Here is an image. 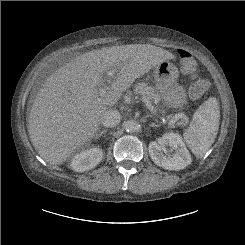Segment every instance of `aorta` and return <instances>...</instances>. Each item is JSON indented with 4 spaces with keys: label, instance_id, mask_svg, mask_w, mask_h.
Masks as SVG:
<instances>
[{
    "label": "aorta",
    "instance_id": "aorta-1",
    "mask_svg": "<svg viewBox=\"0 0 245 245\" xmlns=\"http://www.w3.org/2000/svg\"><path fill=\"white\" fill-rule=\"evenodd\" d=\"M124 128L129 133L137 132L139 129V124L134 120H128L124 124Z\"/></svg>",
    "mask_w": 245,
    "mask_h": 245
}]
</instances>
